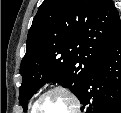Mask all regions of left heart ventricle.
<instances>
[{
    "mask_svg": "<svg viewBox=\"0 0 121 113\" xmlns=\"http://www.w3.org/2000/svg\"><path fill=\"white\" fill-rule=\"evenodd\" d=\"M72 109L71 102L62 93H53L47 96L40 104V111L66 112Z\"/></svg>",
    "mask_w": 121,
    "mask_h": 113,
    "instance_id": "b2bd125f",
    "label": "left heart ventricle"
}]
</instances>
